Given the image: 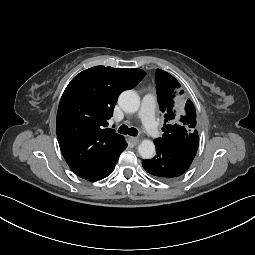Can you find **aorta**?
<instances>
[{
	"label": "aorta",
	"instance_id": "aorta-1",
	"mask_svg": "<svg viewBox=\"0 0 255 255\" xmlns=\"http://www.w3.org/2000/svg\"><path fill=\"white\" fill-rule=\"evenodd\" d=\"M118 103L123 111L135 113L140 107V98L134 90H126L119 96ZM138 152L143 159H151L155 155V145L151 140H143L138 146Z\"/></svg>",
	"mask_w": 255,
	"mask_h": 255
}]
</instances>
